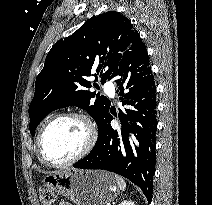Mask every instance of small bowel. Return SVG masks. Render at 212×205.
Instances as JSON below:
<instances>
[{
  "label": "small bowel",
  "instance_id": "c3829d8e",
  "mask_svg": "<svg viewBox=\"0 0 212 205\" xmlns=\"http://www.w3.org/2000/svg\"><path fill=\"white\" fill-rule=\"evenodd\" d=\"M59 205H72V204L67 203V202H63V203H60Z\"/></svg>",
  "mask_w": 212,
  "mask_h": 205
}]
</instances>
